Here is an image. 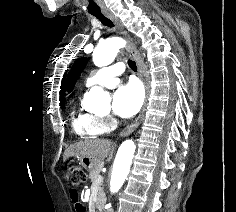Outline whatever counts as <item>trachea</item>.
<instances>
[{
    "label": "trachea",
    "instance_id": "3493384b",
    "mask_svg": "<svg viewBox=\"0 0 236 212\" xmlns=\"http://www.w3.org/2000/svg\"><path fill=\"white\" fill-rule=\"evenodd\" d=\"M93 16L101 21L102 24L108 27H112L113 23L105 17L101 12H90ZM128 65L133 71H137L136 63L132 60H128Z\"/></svg>",
    "mask_w": 236,
    "mask_h": 212
}]
</instances>
